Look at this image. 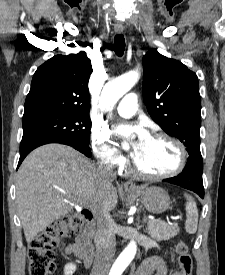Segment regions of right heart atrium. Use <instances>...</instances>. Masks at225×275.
I'll use <instances>...</instances> for the list:
<instances>
[{"label":"right heart atrium","instance_id":"1","mask_svg":"<svg viewBox=\"0 0 225 275\" xmlns=\"http://www.w3.org/2000/svg\"><path fill=\"white\" fill-rule=\"evenodd\" d=\"M90 140L92 150L102 164L117 168L126 165V159L115 148L107 130L93 127Z\"/></svg>","mask_w":225,"mask_h":275}]
</instances>
